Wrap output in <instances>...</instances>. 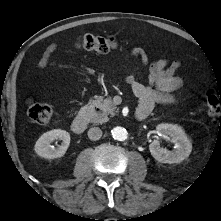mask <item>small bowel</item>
Masks as SVG:
<instances>
[{
  "mask_svg": "<svg viewBox=\"0 0 221 221\" xmlns=\"http://www.w3.org/2000/svg\"><path fill=\"white\" fill-rule=\"evenodd\" d=\"M55 50L56 45L54 44L47 47L38 63L39 68H45L53 64L50 58ZM131 55L139 58L145 65L148 63V57L142 48H133ZM180 67V61L171 63L167 59L153 61L149 66L148 85L137 81L133 73L127 75L126 82L139 99L137 111H142L148 115L156 104H174L176 102L174 92L183 86V80L176 76V72Z\"/></svg>",
  "mask_w": 221,
  "mask_h": 221,
  "instance_id": "1",
  "label": "small bowel"
}]
</instances>
